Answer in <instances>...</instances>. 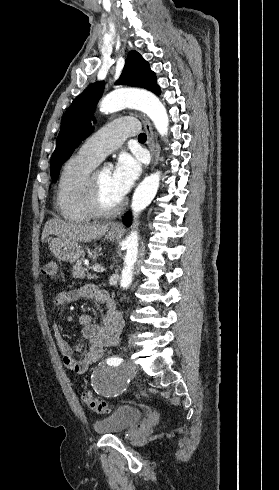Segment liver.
Listing matches in <instances>:
<instances>
[{
  "label": "liver",
  "instance_id": "6515ba94",
  "mask_svg": "<svg viewBox=\"0 0 279 490\" xmlns=\"http://www.w3.org/2000/svg\"><path fill=\"white\" fill-rule=\"evenodd\" d=\"M110 224H101V226H94V224H88V226H83V224H67V222H62V220H48L46 222L43 232H42V242H44L47 236H58V238H63V240H72V242H91V240H98L105 236L108 232Z\"/></svg>",
  "mask_w": 279,
  "mask_h": 490
}]
</instances>
